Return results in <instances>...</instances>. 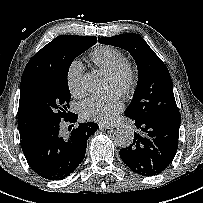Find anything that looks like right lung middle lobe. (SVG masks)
Returning a JSON list of instances; mask_svg holds the SVG:
<instances>
[{
	"label": "right lung middle lobe",
	"mask_w": 203,
	"mask_h": 203,
	"mask_svg": "<svg viewBox=\"0 0 203 203\" xmlns=\"http://www.w3.org/2000/svg\"><path fill=\"white\" fill-rule=\"evenodd\" d=\"M93 42L75 44L61 52L48 66L32 71L24 80V102L45 130L67 119L71 99L67 75L72 61L93 46Z\"/></svg>",
	"instance_id": "right-lung-middle-lobe-1"
}]
</instances>
